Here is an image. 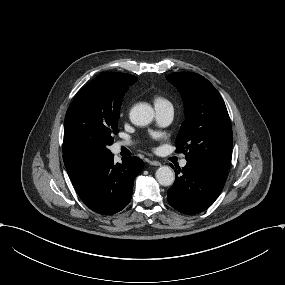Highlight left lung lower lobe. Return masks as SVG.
Listing matches in <instances>:
<instances>
[{"mask_svg": "<svg viewBox=\"0 0 285 285\" xmlns=\"http://www.w3.org/2000/svg\"><path fill=\"white\" fill-rule=\"evenodd\" d=\"M227 172L212 165L187 161L182 170H175L176 179L167 194L169 204L184 214L204 211L222 192Z\"/></svg>", "mask_w": 285, "mask_h": 285, "instance_id": "obj_1", "label": "left lung lower lobe"}]
</instances>
